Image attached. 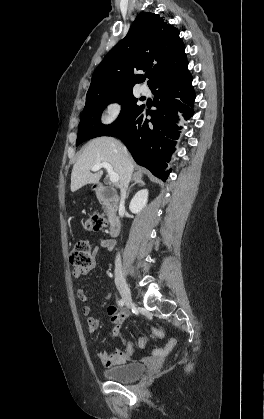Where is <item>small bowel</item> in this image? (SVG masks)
<instances>
[{
	"label": "small bowel",
	"mask_w": 264,
	"mask_h": 419,
	"mask_svg": "<svg viewBox=\"0 0 264 419\" xmlns=\"http://www.w3.org/2000/svg\"><path fill=\"white\" fill-rule=\"evenodd\" d=\"M114 246H115V243L113 240L99 238L93 249V254L95 255L99 249L111 251L114 249ZM93 266H94V263L92 267L90 268H74L72 275L75 279L80 280L83 276L89 273V271L93 268ZM77 296L82 301L88 300V296L84 289H79L77 292ZM81 312L84 316L87 317L88 331L90 333L96 332L100 328L101 320L99 318L90 316L91 307L88 305L83 306L81 309ZM107 312L110 315L111 319L115 322L113 335L121 336V328L124 321L126 320V317H127L126 314L124 312H118L116 307L113 305L107 306ZM154 330L158 331V336L155 337V339H160L163 337V331L160 327H154L152 328L151 331H154ZM174 345H175V341L170 340L163 348L154 349L152 354L155 357L164 356L173 348ZM133 353H134V347L131 345V343H127L125 346V350L116 349L111 354H108L107 352L100 350L97 352V357L104 366L114 367V366L121 365L127 362Z\"/></svg>",
	"instance_id": "small-bowel-1"
}]
</instances>
